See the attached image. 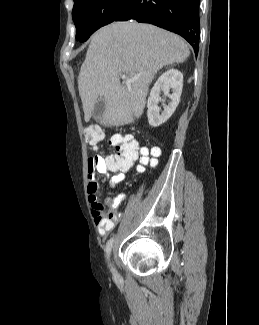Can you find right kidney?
Instances as JSON below:
<instances>
[{"mask_svg": "<svg viewBox=\"0 0 259 325\" xmlns=\"http://www.w3.org/2000/svg\"><path fill=\"white\" fill-rule=\"evenodd\" d=\"M183 88V74L177 69H169L163 73L153 88L147 101V117L152 127H158L165 123L174 113L180 102V96ZM172 89V94H170ZM164 93L171 101L165 105V100L161 99L160 94ZM159 102H163L164 111L160 114Z\"/></svg>", "mask_w": 259, "mask_h": 325, "instance_id": "ca27d5eb", "label": "right kidney"}]
</instances>
